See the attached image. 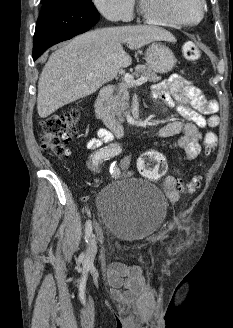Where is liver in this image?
Returning <instances> with one entry per match:
<instances>
[{
    "mask_svg": "<svg viewBox=\"0 0 233 328\" xmlns=\"http://www.w3.org/2000/svg\"><path fill=\"white\" fill-rule=\"evenodd\" d=\"M153 41L175 42L167 30L150 25H128L96 29L78 35L56 49L38 81L37 109L46 118L57 109L96 92L112 80L132 59L131 50Z\"/></svg>",
    "mask_w": 233,
    "mask_h": 328,
    "instance_id": "liver-1",
    "label": "liver"
}]
</instances>
